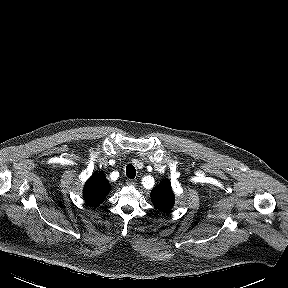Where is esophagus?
<instances>
[{
    "mask_svg": "<svg viewBox=\"0 0 288 288\" xmlns=\"http://www.w3.org/2000/svg\"><path fill=\"white\" fill-rule=\"evenodd\" d=\"M126 184L129 186H135L136 185V180L134 179H127Z\"/></svg>",
    "mask_w": 288,
    "mask_h": 288,
    "instance_id": "obj_1",
    "label": "esophagus"
}]
</instances>
